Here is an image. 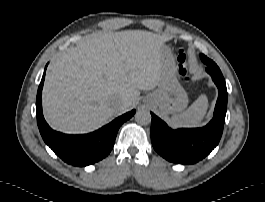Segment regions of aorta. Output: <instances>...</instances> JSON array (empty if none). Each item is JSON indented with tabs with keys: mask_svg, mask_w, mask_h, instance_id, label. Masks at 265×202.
I'll return each mask as SVG.
<instances>
[{
	"mask_svg": "<svg viewBox=\"0 0 265 202\" xmlns=\"http://www.w3.org/2000/svg\"><path fill=\"white\" fill-rule=\"evenodd\" d=\"M151 114L145 109H139L135 114V120L137 123L147 125L151 122Z\"/></svg>",
	"mask_w": 265,
	"mask_h": 202,
	"instance_id": "obj_1",
	"label": "aorta"
}]
</instances>
